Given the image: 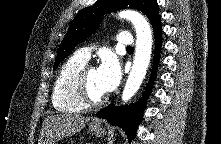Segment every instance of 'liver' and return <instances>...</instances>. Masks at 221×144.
Instances as JSON below:
<instances>
[{
    "label": "liver",
    "instance_id": "obj_1",
    "mask_svg": "<svg viewBox=\"0 0 221 144\" xmlns=\"http://www.w3.org/2000/svg\"><path fill=\"white\" fill-rule=\"evenodd\" d=\"M90 117L79 114H57L46 117L42 125L39 144H55L85 127Z\"/></svg>",
    "mask_w": 221,
    "mask_h": 144
}]
</instances>
